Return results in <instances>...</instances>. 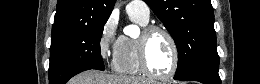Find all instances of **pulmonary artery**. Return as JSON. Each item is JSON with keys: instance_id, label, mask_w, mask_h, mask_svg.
Returning <instances> with one entry per match:
<instances>
[{"instance_id": "1", "label": "pulmonary artery", "mask_w": 260, "mask_h": 84, "mask_svg": "<svg viewBox=\"0 0 260 84\" xmlns=\"http://www.w3.org/2000/svg\"><path fill=\"white\" fill-rule=\"evenodd\" d=\"M126 10L129 15H135L145 22H148L150 10L144 1H132L127 4Z\"/></svg>"}]
</instances>
